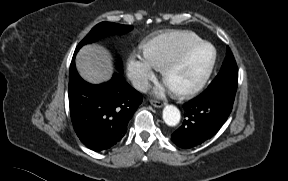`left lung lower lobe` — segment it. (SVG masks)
Listing matches in <instances>:
<instances>
[{"instance_id":"left-lung-lower-lobe-1","label":"left lung lower lobe","mask_w":288,"mask_h":181,"mask_svg":"<svg viewBox=\"0 0 288 181\" xmlns=\"http://www.w3.org/2000/svg\"><path fill=\"white\" fill-rule=\"evenodd\" d=\"M234 99L223 94H201L183 105L186 119L172 135L173 143L191 148L213 137L225 123Z\"/></svg>"}]
</instances>
